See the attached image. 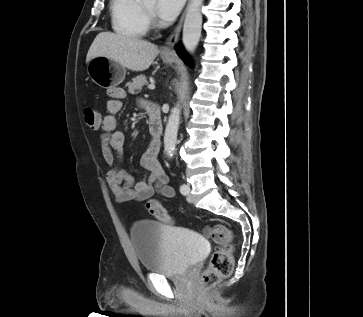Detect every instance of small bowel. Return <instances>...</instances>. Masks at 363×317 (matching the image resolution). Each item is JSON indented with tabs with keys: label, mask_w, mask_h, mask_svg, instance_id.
Here are the masks:
<instances>
[{
	"label": "small bowel",
	"mask_w": 363,
	"mask_h": 317,
	"mask_svg": "<svg viewBox=\"0 0 363 317\" xmlns=\"http://www.w3.org/2000/svg\"><path fill=\"white\" fill-rule=\"evenodd\" d=\"M109 95L107 115L102 118L100 145L105 162L110 167L106 181L115 200L118 203L142 201L151 198L155 193L163 197H173L175 193L169 186V178L157 159L159 148L151 143L140 160L145 174L139 180L136 181L129 173L117 167L126 142L124 132L117 129V115L122 109L125 91L122 88H113Z\"/></svg>",
	"instance_id": "small-bowel-1"
}]
</instances>
